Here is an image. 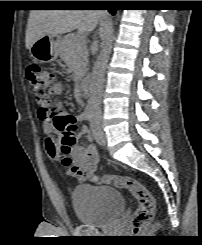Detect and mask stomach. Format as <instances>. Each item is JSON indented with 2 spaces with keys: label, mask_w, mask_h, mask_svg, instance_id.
<instances>
[{
  "label": "stomach",
  "mask_w": 202,
  "mask_h": 245,
  "mask_svg": "<svg viewBox=\"0 0 202 245\" xmlns=\"http://www.w3.org/2000/svg\"><path fill=\"white\" fill-rule=\"evenodd\" d=\"M61 42L58 35H44L33 43L30 54L40 63L52 62L59 55Z\"/></svg>",
  "instance_id": "stomach-1"
}]
</instances>
